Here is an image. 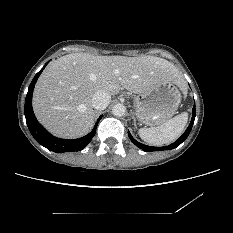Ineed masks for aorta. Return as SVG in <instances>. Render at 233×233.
<instances>
[{"label": "aorta", "instance_id": "1", "mask_svg": "<svg viewBox=\"0 0 233 233\" xmlns=\"http://www.w3.org/2000/svg\"><path fill=\"white\" fill-rule=\"evenodd\" d=\"M125 112H126L125 106L123 104H120V103L114 105L112 108V113L114 116L121 117L125 114Z\"/></svg>", "mask_w": 233, "mask_h": 233}]
</instances>
